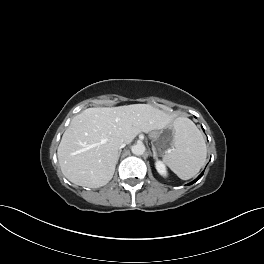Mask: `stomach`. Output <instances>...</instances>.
I'll return each mask as SVG.
<instances>
[{
    "mask_svg": "<svg viewBox=\"0 0 264 264\" xmlns=\"http://www.w3.org/2000/svg\"><path fill=\"white\" fill-rule=\"evenodd\" d=\"M150 138L153 142V148L157 152H164L168 148L170 135L166 131H153L150 133Z\"/></svg>",
    "mask_w": 264,
    "mask_h": 264,
    "instance_id": "1",
    "label": "stomach"
}]
</instances>
